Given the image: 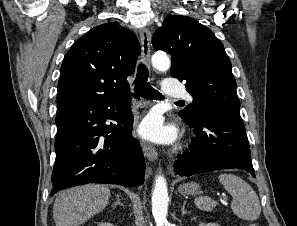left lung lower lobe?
<instances>
[{
  "label": "left lung lower lobe",
  "instance_id": "obj_1",
  "mask_svg": "<svg viewBox=\"0 0 297 226\" xmlns=\"http://www.w3.org/2000/svg\"><path fill=\"white\" fill-rule=\"evenodd\" d=\"M196 138L174 163L179 176L239 168L255 177L246 130L241 116L225 113L206 115L197 121L184 120Z\"/></svg>",
  "mask_w": 297,
  "mask_h": 226
}]
</instances>
